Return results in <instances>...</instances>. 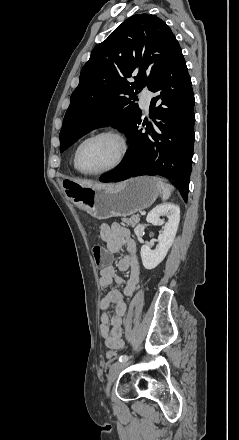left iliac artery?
Masks as SVG:
<instances>
[{
  "instance_id": "left-iliac-artery-1",
  "label": "left iliac artery",
  "mask_w": 239,
  "mask_h": 440,
  "mask_svg": "<svg viewBox=\"0 0 239 440\" xmlns=\"http://www.w3.org/2000/svg\"><path fill=\"white\" fill-rule=\"evenodd\" d=\"M129 359L127 355H121L118 359L119 362H126Z\"/></svg>"
}]
</instances>
